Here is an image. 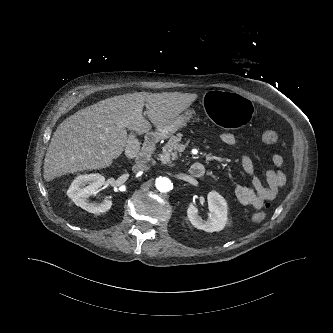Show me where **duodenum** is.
<instances>
[{
  "label": "duodenum",
  "mask_w": 333,
  "mask_h": 333,
  "mask_svg": "<svg viewBox=\"0 0 333 333\" xmlns=\"http://www.w3.org/2000/svg\"><path fill=\"white\" fill-rule=\"evenodd\" d=\"M158 138L156 133H150L147 135L141 151L136 156L137 165H146L152 160ZM190 173L195 178H201L205 174V167L200 162L193 163L190 167Z\"/></svg>",
  "instance_id": "obj_1"
}]
</instances>
